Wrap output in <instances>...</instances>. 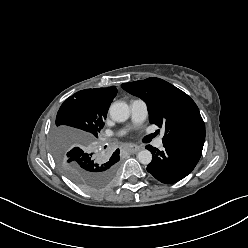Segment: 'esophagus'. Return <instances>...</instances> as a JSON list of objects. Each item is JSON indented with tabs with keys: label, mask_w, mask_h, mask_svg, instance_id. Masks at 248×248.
Returning <instances> with one entry per match:
<instances>
[{
	"label": "esophagus",
	"mask_w": 248,
	"mask_h": 248,
	"mask_svg": "<svg viewBox=\"0 0 248 248\" xmlns=\"http://www.w3.org/2000/svg\"><path fill=\"white\" fill-rule=\"evenodd\" d=\"M139 150H141V147L138 146V145L132 144V145L129 146V151L130 152L135 153V152H138Z\"/></svg>",
	"instance_id": "obj_1"
}]
</instances>
